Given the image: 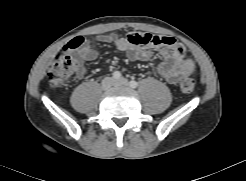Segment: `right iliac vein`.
Listing matches in <instances>:
<instances>
[{
    "label": "right iliac vein",
    "instance_id": "obj_1",
    "mask_svg": "<svg viewBox=\"0 0 246 181\" xmlns=\"http://www.w3.org/2000/svg\"><path fill=\"white\" fill-rule=\"evenodd\" d=\"M113 86H115V80L111 77H106L102 81V88L104 90H110Z\"/></svg>",
    "mask_w": 246,
    "mask_h": 181
}]
</instances>
